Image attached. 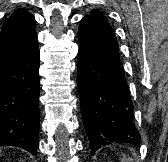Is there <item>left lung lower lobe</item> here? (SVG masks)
Instances as JSON below:
<instances>
[{"mask_svg": "<svg viewBox=\"0 0 168 162\" xmlns=\"http://www.w3.org/2000/svg\"><path fill=\"white\" fill-rule=\"evenodd\" d=\"M78 89L92 153L111 142L139 146L133 104L114 31L99 15H86L78 29Z\"/></svg>", "mask_w": 168, "mask_h": 162, "instance_id": "obj_1", "label": "left lung lower lobe"}]
</instances>
